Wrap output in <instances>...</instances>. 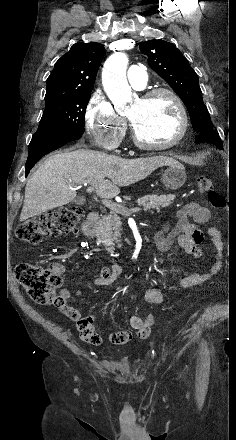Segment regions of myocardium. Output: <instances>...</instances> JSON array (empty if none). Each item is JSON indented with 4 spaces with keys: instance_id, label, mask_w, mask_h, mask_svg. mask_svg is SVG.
<instances>
[{
    "instance_id": "f54148a6",
    "label": "myocardium",
    "mask_w": 236,
    "mask_h": 440,
    "mask_svg": "<svg viewBox=\"0 0 236 440\" xmlns=\"http://www.w3.org/2000/svg\"><path fill=\"white\" fill-rule=\"evenodd\" d=\"M161 95L168 96L174 102L176 109L178 111L179 118H180L179 131H178L177 135L169 142L162 143V144L148 143L141 138V136L139 135L133 122L129 119L134 143L140 148H143L146 150H154V151L169 149V148L177 145L178 143H180L187 135L188 128H189V119H188L187 110H186V107H185L182 99L179 97V95L176 92H174L173 90H171L169 88L158 87V88H154V89H151V90H148L147 92H145L141 96V99L143 101H148L154 97L161 96Z\"/></svg>"
}]
</instances>
